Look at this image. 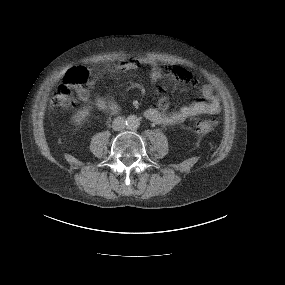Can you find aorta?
<instances>
[{
	"label": "aorta",
	"mask_w": 285,
	"mask_h": 285,
	"mask_svg": "<svg viewBox=\"0 0 285 285\" xmlns=\"http://www.w3.org/2000/svg\"><path fill=\"white\" fill-rule=\"evenodd\" d=\"M127 126L129 129L131 130H136L139 128L140 126V120L137 116L135 115H130L128 118H127Z\"/></svg>",
	"instance_id": "1"
}]
</instances>
